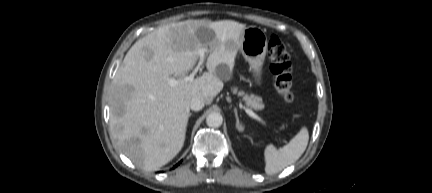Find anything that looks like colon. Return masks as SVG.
Segmentation results:
<instances>
[{
	"label": "colon",
	"instance_id": "obj_1",
	"mask_svg": "<svg viewBox=\"0 0 432 193\" xmlns=\"http://www.w3.org/2000/svg\"><path fill=\"white\" fill-rule=\"evenodd\" d=\"M268 57L270 59V71L275 78V88L288 104L294 102L292 88V64L285 44L277 36H272L268 43Z\"/></svg>",
	"mask_w": 432,
	"mask_h": 193
}]
</instances>
